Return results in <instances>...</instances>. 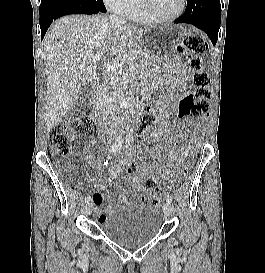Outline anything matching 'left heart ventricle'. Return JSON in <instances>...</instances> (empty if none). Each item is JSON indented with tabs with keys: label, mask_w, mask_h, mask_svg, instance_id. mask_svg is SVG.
Returning <instances> with one entry per match:
<instances>
[{
	"label": "left heart ventricle",
	"mask_w": 265,
	"mask_h": 273,
	"mask_svg": "<svg viewBox=\"0 0 265 273\" xmlns=\"http://www.w3.org/2000/svg\"><path fill=\"white\" fill-rule=\"evenodd\" d=\"M182 0H149L152 12L158 16L169 17L177 13Z\"/></svg>",
	"instance_id": "left-heart-ventricle-1"
}]
</instances>
